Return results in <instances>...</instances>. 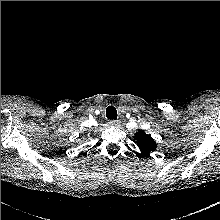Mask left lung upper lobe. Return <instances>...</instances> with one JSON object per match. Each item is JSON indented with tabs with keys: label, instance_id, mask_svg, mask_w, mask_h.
I'll return each instance as SVG.
<instances>
[{
	"label": "left lung upper lobe",
	"instance_id": "5c2ea615",
	"mask_svg": "<svg viewBox=\"0 0 220 220\" xmlns=\"http://www.w3.org/2000/svg\"><path fill=\"white\" fill-rule=\"evenodd\" d=\"M136 143L139 147L141 155L149 156L150 152L156 149V142L154 139L147 135L144 131L140 130L136 133Z\"/></svg>",
	"mask_w": 220,
	"mask_h": 220
}]
</instances>
